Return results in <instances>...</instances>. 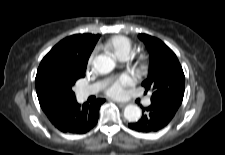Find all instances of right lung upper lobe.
<instances>
[{"label":"right lung upper lobe","mask_w":225,"mask_h":155,"mask_svg":"<svg viewBox=\"0 0 225 155\" xmlns=\"http://www.w3.org/2000/svg\"><path fill=\"white\" fill-rule=\"evenodd\" d=\"M99 37L92 34L69 36L43 58L37 70L35 85L40 106L45 113L75 99L61 89L58 77L72 71L86 70L89 56Z\"/></svg>","instance_id":"right-lung-upper-lobe-1"}]
</instances>
